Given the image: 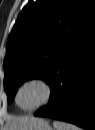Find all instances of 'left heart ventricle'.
<instances>
[{
	"mask_svg": "<svg viewBox=\"0 0 95 130\" xmlns=\"http://www.w3.org/2000/svg\"><path fill=\"white\" fill-rule=\"evenodd\" d=\"M45 96L44 88L36 83L28 84L22 88L18 96V103L22 108H32L38 105Z\"/></svg>",
	"mask_w": 95,
	"mask_h": 130,
	"instance_id": "b2bd125f",
	"label": "left heart ventricle"
}]
</instances>
